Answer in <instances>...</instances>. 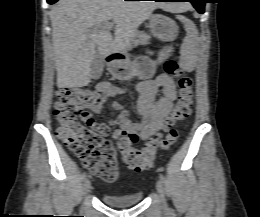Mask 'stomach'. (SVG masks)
Wrapping results in <instances>:
<instances>
[{"instance_id":"1","label":"stomach","mask_w":260,"mask_h":217,"mask_svg":"<svg viewBox=\"0 0 260 217\" xmlns=\"http://www.w3.org/2000/svg\"><path fill=\"white\" fill-rule=\"evenodd\" d=\"M149 25L151 33L162 41L171 42L177 37L178 27L169 17L161 14H151L149 16ZM171 52V47H165L160 51L158 60L167 59ZM111 66L113 75L119 79H130L134 76L141 80L151 79L156 70V63L148 58H141L136 61L119 60L117 63H112Z\"/></svg>"}]
</instances>
